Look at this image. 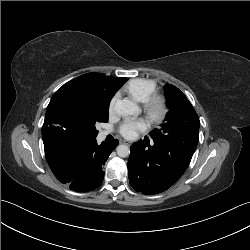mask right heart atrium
Here are the masks:
<instances>
[{
  "mask_svg": "<svg viewBox=\"0 0 250 250\" xmlns=\"http://www.w3.org/2000/svg\"><path fill=\"white\" fill-rule=\"evenodd\" d=\"M118 99V95H114L109 102V112L113 113L115 110V105Z\"/></svg>",
  "mask_w": 250,
  "mask_h": 250,
  "instance_id": "right-heart-atrium-1",
  "label": "right heart atrium"
}]
</instances>
